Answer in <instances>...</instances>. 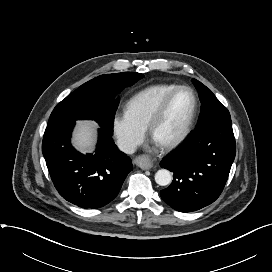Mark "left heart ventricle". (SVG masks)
Returning <instances> with one entry per match:
<instances>
[{
	"instance_id": "b2bd125f",
	"label": "left heart ventricle",
	"mask_w": 272,
	"mask_h": 272,
	"mask_svg": "<svg viewBox=\"0 0 272 272\" xmlns=\"http://www.w3.org/2000/svg\"><path fill=\"white\" fill-rule=\"evenodd\" d=\"M193 107V98L188 91L178 92L169 104V107L157 125L153 139L162 144L176 138L183 130Z\"/></svg>"
}]
</instances>
